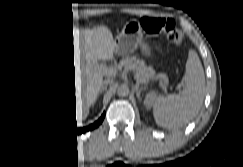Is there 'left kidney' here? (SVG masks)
<instances>
[{"label":"left kidney","mask_w":243,"mask_h":167,"mask_svg":"<svg viewBox=\"0 0 243 167\" xmlns=\"http://www.w3.org/2000/svg\"><path fill=\"white\" fill-rule=\"evenodd\" d=\"M155 94L154 93H149L147 96H146V100H145V103L148 105L150 102H153L155 101Z\"/></svg>","instance_id":"obj_1"}]
</instances>
